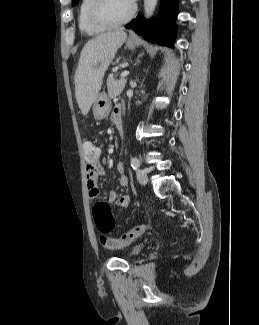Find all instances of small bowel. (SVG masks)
<instances>
[{"label":"small bowel","instance_id":"1","mask_svg":"<svg viewBox=\"0 0 259 325\" xmlns=\"http://www.w3.org/2000/svg\"><path fill=\"white\" fill-rule=\"evenodd\" d=\"M117 115L122 116V109L119 105L115 106L112 111V120L114 121ZM100 150L98 148V156L94 160H87V189L88 195L90 198H96L99 194V187L97 184L98 178L104 175V168L99 160ZM118 170L123 172V165L121 163L118 164ZM129 183L127 176L121 175L119 179V184L121 187H126ZM109 201L115 203L119 208H124L129 205L130 197L128 195H123L118 193L117 191H111L108 195Z\"/></svg>","mask_w":259,"mask_h":325}]
</instances>
